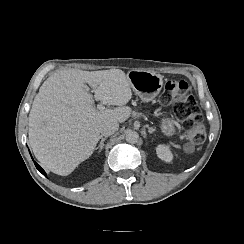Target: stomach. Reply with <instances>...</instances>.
<instances>
[{"instance_id":"1","label":"stomach","mask_w":244,"mask_h":244,"mask_svg":"<svg viewBox=\"0 0 244 244\" xmlns=\"http://www.w3.org/2000/svg\"><path fill=\"white\" fill-rule=\"evenodd\" d=\"M126 77L134 93L143 102L153 100L163 87V76L155 72L134 69L130 70ZM160 127L162 132L167 136L175 133L174 123L169 118L163 119Z\"/></svg>"}]
</instances>
